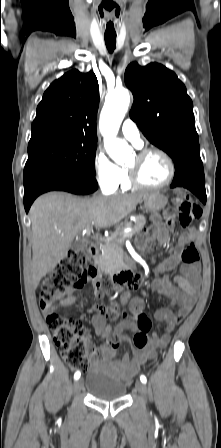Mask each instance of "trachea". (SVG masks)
I'll return each instance as SVG.
<instances>
[{"instance_id": "obj_1", "label": "trachea", "mask_w": 221, "mask_h": 448, "mask_svg": "<svg viewBox=\"0 0 221 448\" xmlns=\"http://www.w3.org/2000/svg\"><path fill=\"white\" fill-rule=\"evenodd\" d=\"M105 44L110 53H112L116 47V36L105 35Z\"/></svg>"}]
</instances>
